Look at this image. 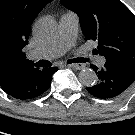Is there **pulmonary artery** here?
I'll use <instances>...</instances> for the list:
<instances>
[{
	"instance_id": "obj_1",
	"label": "pulmonary artery",
	"mask_w": 135,
	"mask_h": 135,
	"mask_svg": "<svg viewBox=\"0 0 135 135\" xmlns=\"http://www.w3.org/2000/svg\"><path fill=\"white\" fill-rule=\"evenodd\" d=\"M59 25L60 35L58 40L47 47L29 52V59L52 60L60 57L76 45L79 27L78 16L74 13H66L61 16ZM96 60L99 65H102L105 62V58L102 56L97 57Z\"/></svg>"
}]
</instances>
